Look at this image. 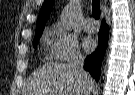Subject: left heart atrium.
Here are the masks:
<instances>
[{
	"instance_id": "obj_1",
	"label": "left heart atrium",
	"mask_w": 135,
	"mask_h": 95,
	"mask_svg": "<svg viewBox=\"0 0 135 95\" xmlns=\"http://www.w3.org/2000/svg\"><path fill=\"white\" fill-rule=\"evenodd\" d=\"M83 47L87 52H91L95 49V41L90 37H86L83 40Z\"/></svg>"
}]
</instances>
